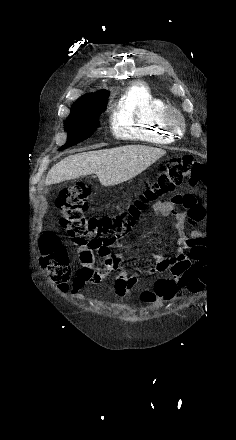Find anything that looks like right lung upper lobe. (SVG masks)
Instances as JSON below:
<instances>
[{"label":"right lung upper lobe","mask_w":236,"mask_h":440,"mask_svg":"<svg viewBox=\"0 0 236 440\" xmlns=\"http://www.w3.org/2000/svg\"><path fill=\"white\" fill-rule=\"evenodd\" d=\"M106 95H108L107 90L98 91L96 93H89L87 95H84L82 98H79L76 102L86 101V100H90V99H98V98H102Z\"/></svg>","instance_id":"1"}]
</instances>
